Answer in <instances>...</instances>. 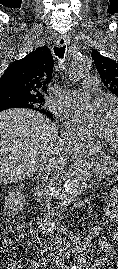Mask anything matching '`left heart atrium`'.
Here are the masks:
<instances>
[{"mask_svg":"<svg viewBox=\"0 0 118 269\" xmlns=\"http://www.w3.org/2000/svg\"><path fill=\"white\" fill-rule=\"evenodd\" d=\"M102 103L81 104L65 114L66 123L82 136H100L107 119Z\"/></svg>","mask_w":118,"mask_h":269,"instance_id":"1","label":"left heart atrium"}]
</instances>
